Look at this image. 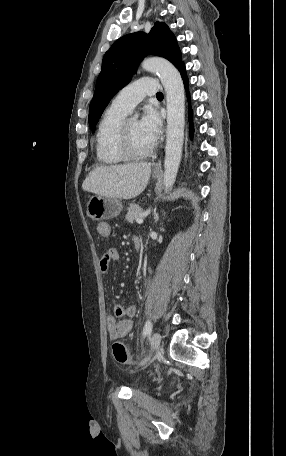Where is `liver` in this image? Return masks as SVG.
Segmentation results:
<instances>
[{"instance_id": "1", "label": "liver", "mask_w": 286, "mask_h": 456, "mask_svg": "<svg viewBox=\"0 0 286 456\" xmlns=\"http://www.w3.org/2000/svg\"><path fill=\"white\" fill-rule=\"evenodd\" d=\"M150 174L151 164L144 162L99 166L86 177L82 189L100 196L132 199L144 191Z\"/></svg>"}]
</instances>
